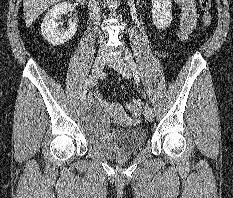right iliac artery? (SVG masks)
Wrapping results in <instances>:
<instances>
[{"label":"right iliac artery","instance_id":"right-iliac-artery-1","mask_svg":"<svg viewBox=\"0 0 233 198\" xmlns=\"http://www.w3.org/2000/svg\"><path fill=\"white\" fill-rule=\"evenodd\" d=\"M93 77H89L88 79H86L85 84H84V90L82 91L81 95H80V100L83 101L86 98V93H87V88L89 85H91V83L93 82Z\"/></svg>","mask_w":233,"mask_h":198}]
</instances>
